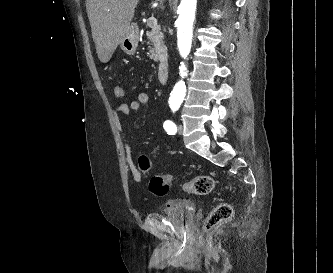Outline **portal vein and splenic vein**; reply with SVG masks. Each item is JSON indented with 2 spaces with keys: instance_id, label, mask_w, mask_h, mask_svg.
Masks as SVG:
<instances>
[{
  "instance_id": "1",
  "label": "portal vein and splenic vein",
  "mask_w": 333,
  "mask_h": 273,
  "mask_svg": "<svg viewBox=\"0 0 333 273\" xmlns=\"http://www.w3.org/2000/svg\"><path fill=\"white\" fill-rule=\"evenodd\" d=\"M147 26L156 29L157 28V20L154 17H150L147 21Z\"/></svg>"
}]
</instances>
